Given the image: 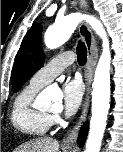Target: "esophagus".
<instances>
[{
	"instance_id": "34e87169",
	"label": "esophagus",
	"mask_w": 123,
	"mask_h": 152,
	"mask_svg": "<svg viewBox=\"0 0 123 152\" xmlns=\"http://www.w3.org/2000/svg\"><path fill=\"white\" fill-rule=\"evenodd\" d=\"M81 7L83 8L84 11H88L89 10L88 1L81 0ZM79 33L82 36L87 49V64L85 71L86 93L83 101L81 115L78 121L76 122L75 126L73 127V129L68 134V136L63 140V145L66 147H74L76 145L79 131L86 120L89 103H90L93 71L98 59L97 43L89 26L86 23H81L79 25Z\"/></svg>"
}]
</instances>
